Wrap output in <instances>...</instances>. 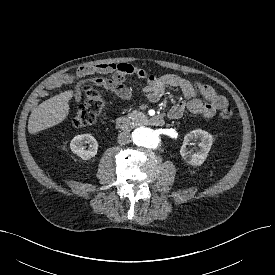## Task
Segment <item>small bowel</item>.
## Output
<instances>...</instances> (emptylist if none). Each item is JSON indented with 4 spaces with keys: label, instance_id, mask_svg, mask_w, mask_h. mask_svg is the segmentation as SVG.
I'll list each match as a JSON object with an SVG mask.
<instances>
[{
    "label": "small bowel",
    "instance_id": "small-bowel-1",
    "mask_svg": "<svg viewBox=\"0 0 275 275\" xmlns=\"http://www.w3.org/2000/svg\"><path fill=\"white\" fill-rule=\"evenodd\" d=\"M121 65H123L122 70L117 68L118 64L83 66L75 72L59 76L53 82L52 87L71 84L76 79L87 75L113 74V78L111 79H97L96 82L119 97L129 100L131 92L126 87L124 80L127 75H136L138 78L146 81L147 85L144 88V93L152 102L159 101L165 95L168 87L179 88L182 91L185 99L171 107L168 112V117L171 119L180 118L184 112H188L194 116L211 118L218 110L228 106L227 99L223 95L218 94L209 85L193 82L175 74L154 76L132 65L126 63H121ZM80 99L81 86L77 85L73 90V100L79 101Z\"/></svg>",
    "mask_w": 275,
    "mask_h": 275
}]
</instances>
